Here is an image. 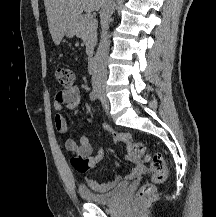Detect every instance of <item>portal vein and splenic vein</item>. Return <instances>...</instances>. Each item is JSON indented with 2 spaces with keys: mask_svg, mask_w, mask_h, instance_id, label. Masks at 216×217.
<instances>
[{
  "mask_svg": "<svg viewBox=\"0 0 216 217\" xmlns=\"http://www.w3.org/2000/svg\"><path fill=\"white\" fill-rule=\"evenodd\" d=\"M87 19H88V20H92V19H93V16L89 14V15H87Z\"/></svg>",
  "mask_w": 216,
  "mask_h": 217,
  "instance_id": "portal-vein-and-splenic-vein-1",
  "label": "portal vein and splenic vein"
}]
</instances>
